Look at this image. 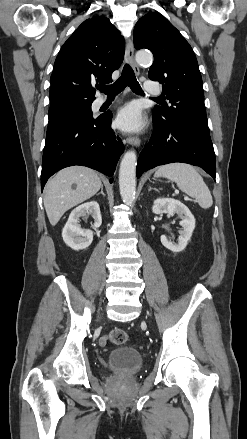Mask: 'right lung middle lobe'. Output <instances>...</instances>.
<instances>
[{
  "instance_id": "1",
  "label": "right lung middle lobe",
  "mask_w": 247,
  "mask_h": 439,
  "mask_svg": "<svg viewBox=\"0 0 247 439\" xmlns=\"http://www.w3.org/2000/svg\"><path fill=\"white\" fill-rule=\"evenodd\" d=\"M92 103H76L59 110L49 111L48 129L79 118H92Z\"/></svg>"
}]
</instances>
